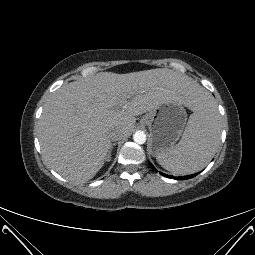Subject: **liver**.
I'll return each mask as SVG.
<instances>
[{"label":"liver","mask_w":255,"mask_h":255,"mask_svg":"<svg viewBox=\"0 0 255 255\" xmlns=\"http://www.w3.org/2000/svg\"><path fill=\"white\" fill-rule=\"evenodd\" d=\"M208 93L168 68L127 74L100 72L56 90L39 120V141L52 169L73 182L92 179L112 146L109 134H131L136 116L176 98L195 110Z\"/></svg>","instance_id":"6515ba94"}]
</instances>
